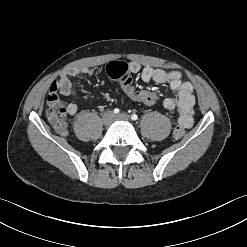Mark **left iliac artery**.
Returning <instances> with one entry per match:
<instances>
[{
  "label": "left iliac artery",
  "mask_w": 247,
  "mask_h": 247,
  "mask_svg": "<svg viewBox=\"0 0 247 247\" xmlns=\"http://www.w3.org/2000/svg\"><path fill=\"white\" fill-rule=\"evenodd\" d=\"M131 119L134 120V121H136L138 119V116L136 114H132L131 115Z\"/></svg>",
  "instance_id": "44dca946"
}]
</instances>
